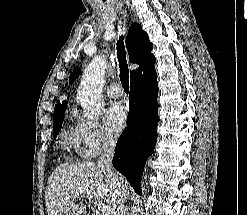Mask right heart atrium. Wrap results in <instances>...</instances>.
Wrapping results in <instances>:
<instances>
[{
	"label": "right heart atrium",
	"instance_id": "right-heart-atrium-1",
	"mask_svg": "<svg viewBox=\"0 0 247 215\" xmlns=\"http://www.w3.org/2000/svg\"><path fill=\"white\" fill-rule=\"evenodd\" d=\"M85 157L93 158L115 147L116 134L97 120H79L75 129Z\"/></svg>",
	"mask_w": 247,
	"mask_h": 215
}]
</instances>
